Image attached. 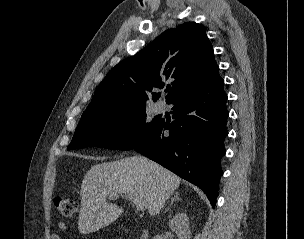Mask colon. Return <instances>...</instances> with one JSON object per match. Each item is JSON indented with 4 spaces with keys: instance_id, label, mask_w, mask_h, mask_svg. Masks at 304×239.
Returning <instances> with one entry per match:
<instances>
[{
    "instance_id": "obj_1",
    "label": "colon",
    "mask_w": 304,
    "mask_h": 239,
    "mask_svg": "<svg viewBox=\"0 0 304 239\" xmlns=\"http://www.w3.org/2000/svg\"><path fill=\"white\" fill-rule=\"evenodd\" d=\"M54 204L63 218L73 217L78 210V202L69 197H56Z\"/></svg>"
}]
</instances>
